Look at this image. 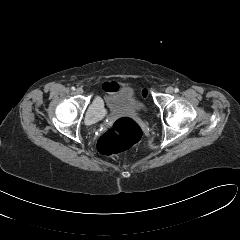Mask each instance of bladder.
I'll list each match as a JSON object with an SVG mask.
<instances>
[{"instance_id": "31cf9c89", "label": "bladder", "mask_w": 240, "mask_h": 240, "mask_svg": "<svg viewBox=\"0 0 240 240\" xmlns=\"http://www.w3.org/2000/svg\"><path fill=\"white\" fill-rule=\"evenodd\" d=\"M105 104L112 115L138 114L143 108L134 88L128 85L118 87L114 92L107 94Z\"/></svg>"}]
</instances>
